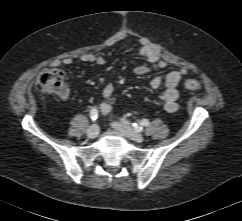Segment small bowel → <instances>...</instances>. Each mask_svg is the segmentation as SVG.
<instances>
[{"label":"small bowel","mask_w":242,"mask_h":221,"mask_svg":"<svg viewBox=\"0 0 242 221\" xmlns=\"http://www.w3.org/2000/svg\"><path fill=\"white\" fill-rule=\"evenodd\" d=\"M123 39L120 37L119 40ZM140 54L146 58L150 65H138L134 68L136 75H145L155 70H162L166 68L167 61L163 59L160 54L154 49L147 41L142 40L140 43ZM80 60L83 63H95L97 65H104L105 58L95 55L93 53H85L81 55ZM73 63V59L65 57L60 60H54L51 66L58 68L60 66H69ZM187 73L185 67H178L169 70L165 77L157 76L150 81V87L152 89H158L161 85H164V91L161 94V103L163 109L169 113L176 112L178 109L179 92L177 86L180 79ZM115 87L112 83H107L102 90L104 101L100 104L99 109L102 114H109L112 111L111 99L114 96ZM66 95L64 96V98Z\"/></svg>","instance_id":"small-bowel-1"}]
</instances>
